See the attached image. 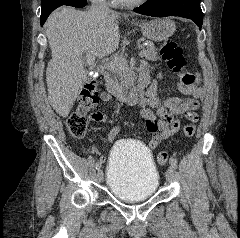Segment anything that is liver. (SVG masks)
Returning <instances> with one entry per match:
<instances>
[{"label": "liver", "instance_id": "6515ba94", "mask_svg": "<svg viewBox=\"0 0 240 238\" xmlns=\"http://www.w3.org/2000/svg\"><path fill=\"white\" fill-rule=\"evenodd\" d=\"M119 14H92L62 7L46 21V36L52 59L46 69L48 101L66 118L83 88L86 72L82 54L105 57L114 53L120 42Z\"/></svg>", "mask_w": 240, "mask_h": 238}]
</instances>
